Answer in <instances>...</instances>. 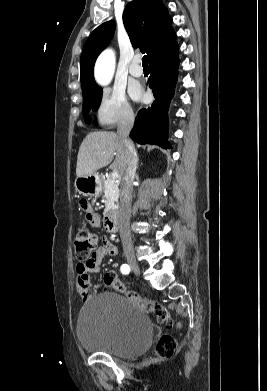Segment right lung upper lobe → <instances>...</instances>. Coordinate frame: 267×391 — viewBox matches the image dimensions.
Returning a JSON list of instances; mask_svg holds the SVG:
<instances>
[{
  "label": "right lung upper lobe",
  "instance_id": "obj_1",
  "mask_svg": "<svg viewBox=\"0 0 267 391\" xmlns=\"http://www.w3.org/2000/svg\"><path fill=\"white\" fill-rule=\"evenodd\" d=\"M123 23L132 46L140 47L150 60L176 43L172 18L161 0H133L123 13ZM115 29L113 21L97 27L87 39L80 60L83 92L98 87L93 68L98 55L104 50Z\"/></svg>",
  "mask_w": 267,
  "mask_h": 391
}]
</instances>
